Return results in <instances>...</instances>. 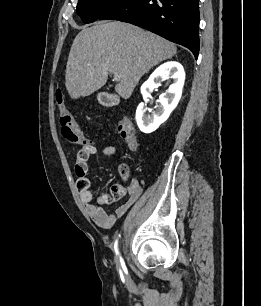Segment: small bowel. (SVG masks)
<instances>
[{
    "instance_id": "1",
    "label": "small bowel",
    "mask_w": 261,
    "mask_h": 306,
    "mask_svg": "<svg viewBox=\"0 0 261 306\" xmlns=\"http://www.w3.org/2000/svg\"><path fill=\"white\" fill-rule=\"evenodd\" d=\"M117 152L116 147L114 146H106L103 149V153L105 155H115ZM95 153V148L93 146V151L90 156H92ZM89 156V157H90ZM87 158H78L75 166V172L77 176V182L78 181H87L89 183V186L85 189H79V197L84 204L87 213L92 218V220L95 222L96 225H98L101 228L109 229L111 228L114 223L121 218L126 211L138 200L142 193V186L141 184L133 179L130 181V183L124 187L122 185H115L112 188H119L122 190V196L127 194L128 197L126 201L118 206L113 213H108L99 202L98 204H94L93 201V193L90 189V180L87 176L88 172V166H87Z\"/></svg>"
}]
</instances>
